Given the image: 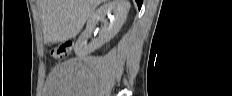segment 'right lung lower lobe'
Segmentation results:
<instances>
[{
	"label": "right lung lower lobe",
	"instance_id": "right-lung-lower-lobe-1",
	"mask_svg": "<svg viewBox=\"0 0 232 96\" xmlns=\"http://www.w3.org/2000/svg\"><path fill=\"white\" fill-rule=\"evenodd\" d=\"M135 1H136L137 5H138V8L140 9L141 6H142L143 0H135Z\"/></svg>",
	"mask_w": 232,
	"mask_h": 96
}]
</instances>
